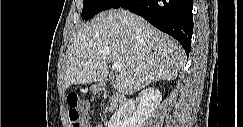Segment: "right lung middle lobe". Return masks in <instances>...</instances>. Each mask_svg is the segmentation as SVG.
<instances>
[{
	"label": "right lung middle lobe",
	"instance_id": "1",
	"mask_svg": "<svg viewBox=\"0 0 243 127\" xmlns=\"http://www.w3.org/2000/svg\"><path fill=\"white\" fill-rule=\"evenodd\" d=\"M118 1L119 0H84L81 14L82 19L88 20L97 13L112 8Z\"/></svg>",
	"mask_w": 243,
	"mask_h": 127
}]
</instances>
